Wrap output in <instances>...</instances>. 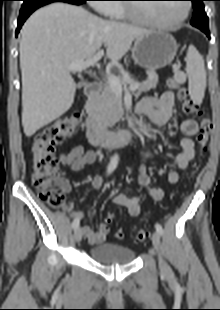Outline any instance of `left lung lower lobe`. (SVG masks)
I'll return each instance as SVG.
<instances>
[{
	"label": "left lung lower lobe",
	"instance_id": "left-lung-lower-lobe-1",
	"mask_svg": "<svg viewBox=\"0 0 220 310\" xmlns=\"http://www.w3.org/2000/svg\"><path fill=\"white\" fill-rule=\"evenodd\" d=\"M203 32L207 35L208 38H210L209 30H204Z\"/></svg>",
	"mask_w": 220,
	"mask_h": 310
}]
</instances>
